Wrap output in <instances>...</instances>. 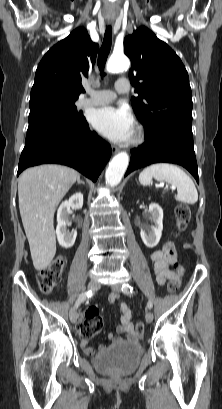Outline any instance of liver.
<instances>
[{"mask_svg":"<svg viewBox=\"0 0 222 409\" xmlns=\"http://www.w3.org/2000/svg\"><path fill=\"white\" fill-rule=\"evenodd\" d=\"M78 177L69 167L45 164L25 170L18 179L20 215L38 271L46 269L55 256L54 213Z\"/></svg>","mask_w":222,"mask_h":409,"instance_id":"1","label":"liver"}]
</instances>
